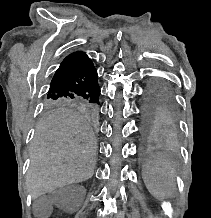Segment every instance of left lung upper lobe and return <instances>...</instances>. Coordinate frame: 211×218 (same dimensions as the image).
I'll use <instances>...</instances> for the list:
<instances>
[{
	"instance_id": "obj_1",
	"label": "left lung upper lobe",
	"mask_w": 211,
	"mask_h": 218,
	"mask_svg": "<svg viewBox=\"0 0 211 218\" xmlns=\"http://www.w3.org/2000/svg\"><path fill=\"white\" fill-rule=\"evenodd\" d=\"M177 115L171 90L162 82L151 83L145 94L143 117L145 128L153 130L164 122H173Z\"/></svg>"
}]
</instances>
